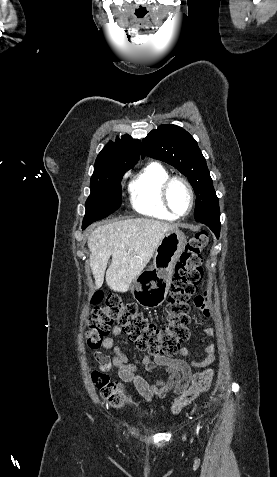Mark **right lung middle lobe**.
<instances>
[{"label": "right lung middle lobe", "mask_w": 277, "mask_h": 477, "mask_svg": "<svg viewBox=\"0 0 277 477\" xmlns=\"http://www.w3.org/2000/svg\"><path fill=\"white\" fill-rule=\"evenodd\" d=\"M130 168L115 167L94 173L90 181L91 194L85 207L82 229L107 217L121 205V179Z\"/></svg>", "instance_id": "dd1d6c3e"}]
</instances>
